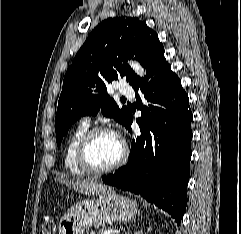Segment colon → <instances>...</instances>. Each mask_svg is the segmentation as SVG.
<instances>
[{"instance_id": "1", "label": "colon", "mask_w": 241, "mask_h": 234, "mask_svg": "<svg viewBox=\"0 0 241 234\" xmlns=\"http://www.w3.org/2000/svg\"><path fill=\"white\" fill-rule=\"evenodd\" d=\"M41 234H55V224L49 217L42 224Z\"/></svg>"}]
</instances>
